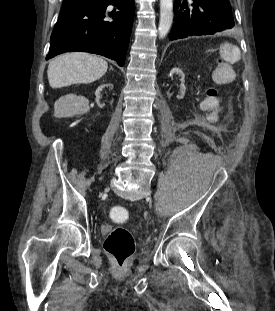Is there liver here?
Masks as SVG:
<instances>
[{
  "label": "liver",
  "mask_w": 275,
  "mask_h": 311,
  "mask_svg": "<svg viewBox=\"0 0 275 311\" xmlns=\"http://www.w3.org/2000/svg\"><path fill=\"white\" fill-rule=\"evenodd\" d=\"M108 69L107 62L83 52L66 53L50 61L47 75L52 88L77 83H91L102 77Z\"/></svg>",
  "instance_id": "liver-1"
}]
</instances>
